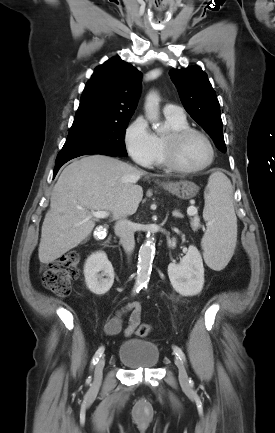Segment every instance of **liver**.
<instances>
[{
	"instance_id": "1",
	"label": "liver",
	"mask_w": 275,
	"mask_h": 433,
	"mask_svg": "<svg viewBox=\"0 0 275 433\" xmlns=\"http://www.w3.org/2000/svg\"><path fill=\"white\" fill-rule=\"evenodd\" d=\"M146 172L105 155H91L64 168L55 184L41 230L38 257L49 264L77 247L92 232L88 211H108L113 219L136 212Z\"/></svg>"
}]
</instances>
